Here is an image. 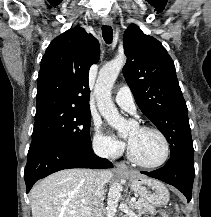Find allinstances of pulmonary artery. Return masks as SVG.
Here are the masks:
<instances>
[{"mask_svg": "<svg viewBox=\"0 0 211 217\" xmlns=\"http://www.w3.org/2000/svg\"><path fill=\"white\" fill-rule=\"evenodd\" d=\"M116 104L123 110L135 114L136 104L130 88L127 85L121 86L115 95Z\"/></svg>", "mask_w": 211, "mask_h": 217, "instance_id": "1", "label": "pulmonary artery"}]
</instances>
